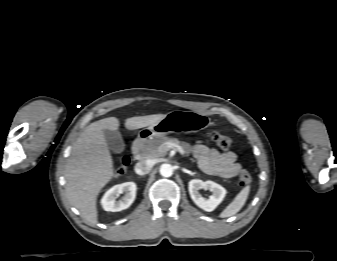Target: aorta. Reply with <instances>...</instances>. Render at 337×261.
Segmentation results:
<instances>
[{"mask_svg":"<svg viewBox=\"0 0 337 261\" xmlns=\"http://www.w3.org/2000/svg\"><path fill=\"white\" fill-rule=\"evenodd\" d=\"M160 174L163 176V177H170L172 176L173 174V167L170 165V164H162L160 166Z\"/></svg>","mask_w":337,"mask_h":261,"instance_id":"1","label":"aorta"}]
</instances>
